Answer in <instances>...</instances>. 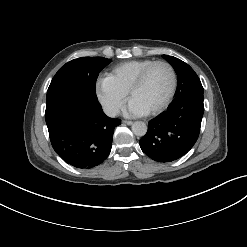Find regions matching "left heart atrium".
<instances>
[{"label":"left heart atrium","instance_id":"39dd6f15","mask_svg":"<svg viewBox=\"0 0 247 247\" xmlns=\"http://www.w3.org/2000/svg\"><path fill=\"white\" fill-rule=\"evenodd\" d=\"M123 113L127 116H142L147 114V111L136 100L131 99Z\"/></svg>","mask_w":247,"mask_h":247}]
</instances>
